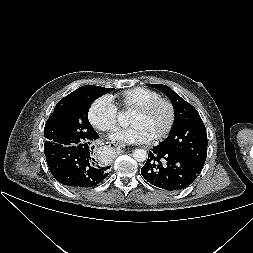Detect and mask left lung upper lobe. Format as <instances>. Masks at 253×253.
Masks as SVG:
<instances>
[{
  "mask_svg": "<svg viewBox=\"0 0 253 253\" xmlns=\"http://www.w3.org/2000/svg\"><path fill=\"white\" fill-rule=\"evenodd\" d=\"M148 86L166 94L174 107V124L169 136L159 146L203 167L207 155V134L198 111L168 86Z\"/></svg>",
  "mask_w": 253,
  "mask_h": 253,
  "instance_id": "left-lung-upper-lobe-1",
  "label": "left lung upper lobe"
}]
</instances>
